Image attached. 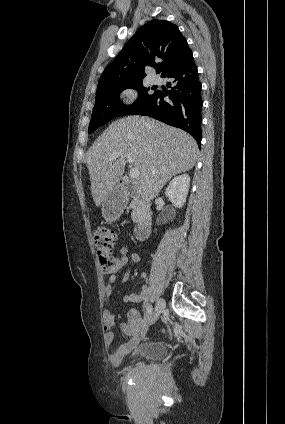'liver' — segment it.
Masks as SVG:
<instances>
[{
  "label": "liver",
  "mask_w": 285,
  "mask_h": 424,
  "mask_svg": "<svg viewBox=\"0 0 285 424\" xmlns=\"http://www.w3.org/2000/svg\"><path fill=\"white\" fill-rule=\"evenodd\" d=\"M115 152L121 155L109 161ZM125 155L132 157L134 168L139 170L137 193L151 200L173 176L193 168L198 147L185 131L149 117L128 116L113 121L87 152L96 206L105 201L122 177Z\"/></svg>",
  "instance_id": "liver-1"
}]
</instances>
